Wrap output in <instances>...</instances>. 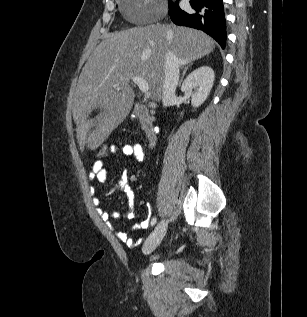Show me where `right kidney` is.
I'll return each instance as SVG.
<instances>
[{"label":"right kidney","mask_w":307,"mask_h":317,"mask_svg":"<svg viewBox=\"0 0 307 317\" xmlns=\"http://www.w3.org/2000/svg\"><path fill=\"white\" fill-rule=\"evenodd\" d=\"M215 74L211 67L201 66L192 71L184 80L181 91L191 94L194 108L202 105L207 99L214 82ZM196 90V92H192Z\"/></svg>","instance_id":"right-kidney-1"}]
</instances>
